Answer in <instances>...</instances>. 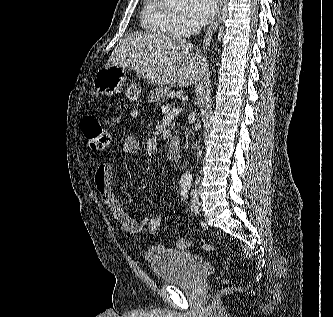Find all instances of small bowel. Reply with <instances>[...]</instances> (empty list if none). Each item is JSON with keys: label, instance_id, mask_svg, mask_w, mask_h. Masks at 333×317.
Returning <instances> with one entry per match:
<instances>
[{"label": "small bowel", "instance_id": "obj_1", "mask_svg": "<svg viewBox=\"0 0 333 317\" xmlns=\"http://www.w3.org/2000/svg\"><path fill=\"white\" fill-rule=\"evenodd\" d=\"M139 115L138 109L130 112L131 120L134 121ZM140 149V141L133 134H127L121 145V152L124 155H134ZM114 159L108 158L102 161L95 171L94 183L102 201L108 208L114 219L128 232L139 233L148 224L150 218L144 216L140 220L130 216L122 207L112 188V174Z\"/></svg>", "mask_w": 333, "mask_h": 317}]
</instances>
